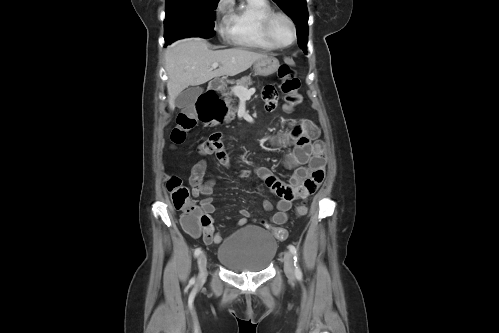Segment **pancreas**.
Segmentation results:
<instances>
[{
    "label": "pancreas",
    "instance_id": "1",
    "mask_svg": "<svg viewBox=\"0 0 499 333\" xmlns=\"http://www.w3.org/2000/svg\"><path fill=\"white\" fill-rule=\"evenodd\" d=\"M236 84L238 86H243L245 88H248L249 86H251L253 84L252 82V79L250 76H245V77H242L241 79L237 80L236 81ZM223 93V96L225 97L224 101L228 107V110H229V116L231 118H233L235 116V112H236V109L233 107V104L234 103V99L232 98V96L234 95V92L232 91V89H228L226 88L225 90L222 91Z\"/></svg>",
    "mask_w": 499,
    "mask_h": 333
}]
</instances>
